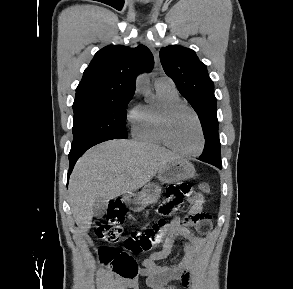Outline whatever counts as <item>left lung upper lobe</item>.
Segmentation results:
<instances>
[{"instance_id":"1","label":"left lung upper lobe","mask_w":293,"mask_h":289,"mask_svg":"<svg viewBox=\"0 0 293 289\" xmlns=\"http://www.w3.org/2000/svg\"><path fill=\"white\" fill-rule=\"evenodd\" d=\"M160 60L165 73L196 111L205 138L218 133L217 100L206 65L193 50L178 45L161 48ZM204 158L210 163H221L220 145Z\"/></svg>"}]
</instances>
